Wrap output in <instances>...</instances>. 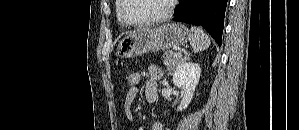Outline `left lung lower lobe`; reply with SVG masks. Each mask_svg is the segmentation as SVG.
I'll return each mask as SVG.
<instances>
[{
  "mask_svg": "<svg viewBox=\"0 0 299 130\" xmlns=\"http://www.w3.org/2000/svg\"><path fill=\"white\" fill-rule=\"evenodd\" d=\"M226 6L227 0H179L173 21L202 26L221 46Z\"/></svg>",
  "mask_w": 299,
  "mask_h": 130,
  "instance_id": "obj_1",
  "label": "left lung lower lobe"
}]
</instances>
